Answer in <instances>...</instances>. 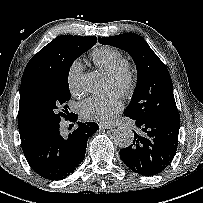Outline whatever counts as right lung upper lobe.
<instances>
[{
  "label": "right lung upper lobe",
  "instance_id": "cb5924a9",
  "mask_svg": "<svg viewBox=\"0 0 203 203\" xmlns=\"http://www.w3.org/2000/svg\"><path fill=\"white\" fill-rule=\"evenodd\" d=\"M96 42L97 38L95 36L61 35L52 40L31 58L24 70L20 87L18 128L21 140L44 134L49 130L36 118L27 103L26 90L29 78L37 72L51 68L59 57L68 50L87 44L94 45Z\"/></svg>",
  "mask_w": 203,
  "mask_h": 203
}]
</instances>
